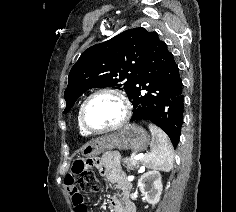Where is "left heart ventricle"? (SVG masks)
I'll list each match as a JSON object with an SVG mask.
<instances>
[{
	"label": "left heart ventricle",
	"instance_id": "b2bd125f",
	"mask_svg": "<svg viewBox=\"0 0 236 212\" xmlns=\"http://www.w3.org/2000/svg\"><path fill=\"white\" fill-rule=\"evenodd\" d=\"M122 113V104L116 97L102 94L88 103L85 110V120L89 127L101 129L117 123Z\"/></svg>",
	"mask_w": 236,
	"mask_h": 212
}]
</instances>
